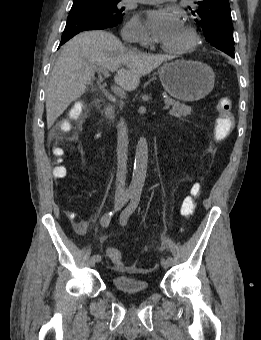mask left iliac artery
I'll use <instances>...</instances> for the list:
<instances>
[{
	"instance_id": "44dca946",
	"label": "left iliac artery",
	"mask_w": 261,
	"mask_h": 340,
	"mask_svg": "<svg viewBox=\"0 0 261 340\" xmlns=\"http://www.w3.org/2000/svg\"><path fill=\"white\" fill-rule=\"evenodd\" d=\"M140 200V194L139 193H134L131 199L130 204L124 209V211L120 215V223L122 225H126L128 222V219L130 215L135 211L139 204ZM167 261L172 264L175 262V258L171 255H167L166 257Z\"/></svg>"
}]
</instances>
